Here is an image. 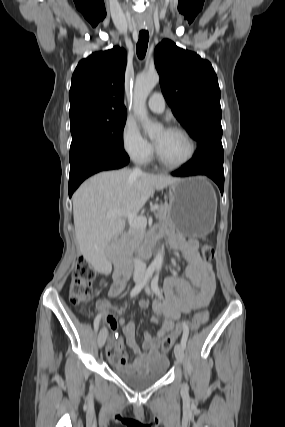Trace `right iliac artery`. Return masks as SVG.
<instances>
[{"label":"right iliac artery","instance_id":"obj_1","mask_svg":"<svg viewBox=\"0 0 285 427\" xmlns=\"http://www.w3.org/2000/svg\"><path fill=\"white\" fill-rule=\"evenodd\" d=\"M154 270H155L154 267H148V269L145 272L143 279L138 284H136L135 287L132 289V291L130 293L131 297H134L140 293L142 288L147 284L149 279L152 277ZM98 322H99V319H97V321L95 323V326H94L95 331H98V327H99Z\"/></svg>","mask_w":285,"mask_h":427}]
</instances>
